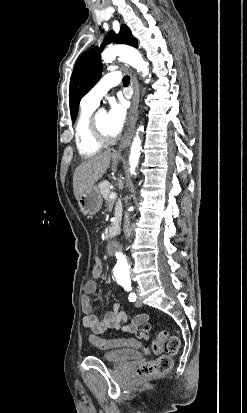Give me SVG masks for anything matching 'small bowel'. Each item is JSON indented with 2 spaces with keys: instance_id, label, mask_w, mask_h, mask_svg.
Masks as SVG:
<instances>
[{
  "instance_id": "1",
  "label": "small bowel",
  "mask_w": 247,
  "mask_h": 413,
  "mask_svg": "<svg viewBox=\"0 0 247 413\" xmlns=\"http://www.w3.org/2000/svg\"><path fill=\"white\" fill-rule=\"evenodd\" d=\"M96 291L97 282H86L84 284L83 296L81 299V306L84 314V327L91 330L94 334H101L107 329L135 333L137 338H142L143 340L139 342V347L146 348V341L150 340L149 330L151 329V324L147 322V317L149 315L145 313L138 314L128 321L127 314L119 310V304H114L112 311L98 315L95 313V304L91 299V296L95 294ZM140 327L141 329H139Z\"/></svg>"
}]
</instances>
